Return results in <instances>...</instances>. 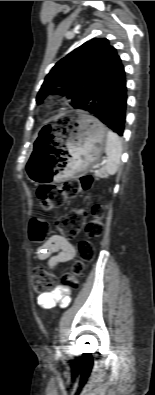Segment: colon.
I'll return each instance as SVG.
<instances>
[{"instance_id":"1","label":"colon","mask_w":155,"mask_h":395,"mask_svg":"<svg viewBox=\"0 0 155 395\" xmlns=\"http://www.w3.org/2000/svg\"><path fill=\"white\" fill-rule=\"evenodd\" d=\"M92 184L90 175H83L77 179L66 180L59 184L41 185L37 189V197L44 210H52L62 206L69 198H74L79 192L87 190ZM104 208L95 205L91 209L90 219L86 222V213L83 210L75 209L66 212L57 223V228L61 235L68 238L76 237L82 230L88 238L100 237L104 229ZM47 235V224L41 219H32L29 224V238L33 243H42ZM80 259L73 263L71 270L63 273V288H77L83 268V262L93 260L95 247L89 240H82L79 245ZM33 287L36 293L49 292L56 282L55 275L46 268H37L32 273Z\"/></svg>"}]
</instances>
